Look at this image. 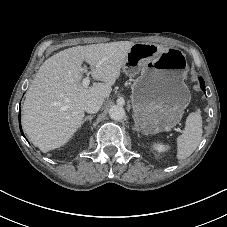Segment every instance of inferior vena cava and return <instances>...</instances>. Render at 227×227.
Wrapping results in <instances>:
<instances>
[{"label": "inferior vena cava", "mask_w": 227, "mask_h": 227, "mask_svg": "<svg viewBox=\"0 0 227 227\" xmlns=\"http://www.w3.org/2000/svg\"><path fill=\"white\" fill-rule=\"evenodd\" d=\"M104 99L102 98H91L85 103V111L88 113H96L101 108Z\"/></svg>", "instance_id": "obj_1"}]
</instances>
